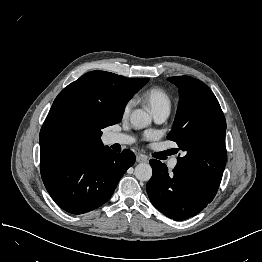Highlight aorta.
Listing matches in <instances>:
<instances>
[{
    "label": "aorta",
    "instance_id": "obj_1",
    "mask_svg": "<svg viewBox=\"0 0 262 262\" xmlns=\"http://www.w3.org/2000/svg\"><path fill=\"white\" fill-rule=\"evenodd\" d=\"M131 124L138 129L150 125L151 116L142 109L134 110L130 115ZM135 177L140 181H149L152 177V168L147 163H140L135 167Z\"/></svg>",
    "mask_w": 262,
    "mask_h": 262
}]
</instances>
